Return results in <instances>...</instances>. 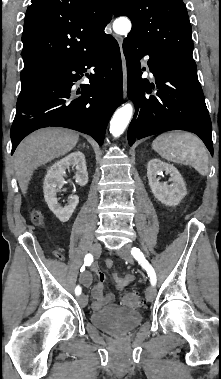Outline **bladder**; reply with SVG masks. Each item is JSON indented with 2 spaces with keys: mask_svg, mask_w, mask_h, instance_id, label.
<instances>
[{
  "mask_svg": "<svg viewBox=\"0 0 221 379\" xmlns=\"http://www.w3.org/2000/svg\"><path fill=\"white\" fill-rule=\"evenodd\" d=\"M91 322L112 335H124L142 321V314L133 309L109 306L91 314Z\"/></svg>",
  "mask_w": 221,
  "mask_h": 379,
  "instance_id": "bladder-1",
  "label": "bladder"
}]
</instances>
